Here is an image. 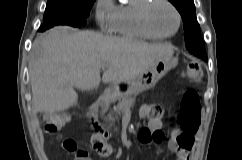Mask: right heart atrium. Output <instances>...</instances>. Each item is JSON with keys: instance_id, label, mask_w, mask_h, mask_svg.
<instances>
[{"instance_id": "right-heart-atrium-1", "label": "right heart atrium", "mask_w": 242, "mask_h": 160, "mask_svg": "<svg viewBox=\"0 0 242 160\" xmlns=\"http://www.w3.org/2000/svg\"><path fill=\"white\" fill-rule=\"evenodd\" d=\"M116 7L113 0H96L95 19L101 29L107 32L113 30Z\"/></svg>"}]
</instances>
